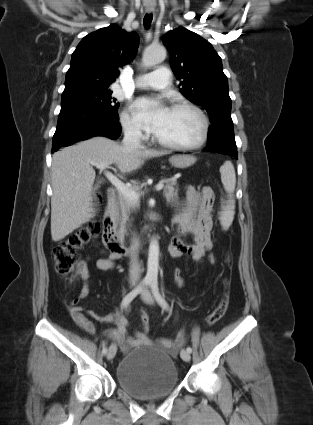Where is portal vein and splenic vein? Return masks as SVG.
Instances as JSON below:
<instances>
[{
	"label": "portal vein and splenic vein",
	"mask_w": 313,
	"mask_h": 425,
	"mask_svg": "<svg viewBox=\"0 0 313 425\" xmlns=\"http://www.w3.org/2000/svg\"><path fill=\"white\" fill-rule=\"evenodd\" d=\"M92 166L97 167L99 170L104 171L106 178L111 182V184L117 189L119 193H121L124 197L129 199L130 201H138L141 193L135 192L130 187L125 185L119 178H117L113 173L106 170L110 163H102V162H91ZM164 187L163 183H159L156 185V190L160 191Z\"/></svg>",
	"instance_id": "18ae733b"
}]
</instances>
